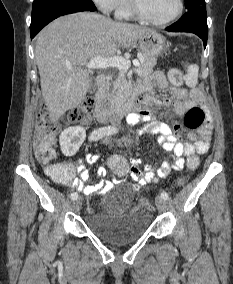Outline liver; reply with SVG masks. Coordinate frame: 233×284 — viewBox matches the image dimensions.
I'll return each instance as SVG.
<instances>
[{
	"instance_id": "liver-1",
	"label": "liver",
	"mask_w": 233,
	"mask_h": 284,
	"mask_svg": "<svg viewBox=\"0 0 233 284\" xmlns=\"http://www.w3.org/2000/svg\"><path fill=\"white\" fill-rule=\"evenodd\" d=\"M150 31L88 12L66 15L46 26L36 37L35 59L50 119L57 121L85 99L91 83L83 68L88 60L114 57L119 47H130Z\"/></svg>"
}]
</instances>
